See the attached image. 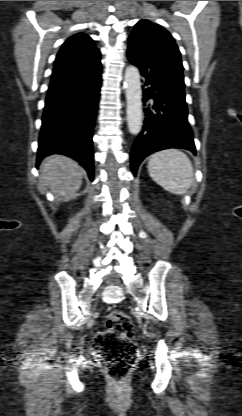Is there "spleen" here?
<instances>
[{"mask_svg":"<svg viewBox=\"0 0 242 416\" xmlns=\"http://www.w3.org/2000/svg\"><path fill=\"white\" fill-rule=\"evenodd\" d=\"M147 168L151 178L173 194H185L194 181L190 159L177 149L154 153L148 161Z\"/></svg>","mask_w":242,"mask_h":416,"instance_id":"1","label":"spleen"}]
</instances>
